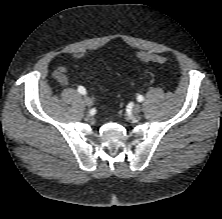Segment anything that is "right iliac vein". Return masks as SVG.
Instances as JSON below:
<instances>
[{"mask_svg": "<svg viewBox=\"0 0 222 219\" xmlns=\"http://www.w3.org/2000/svg\"><path fill=\"white\" fill-rule=\"evenodd\" d=\"M83 101H84V103H85V105H87V106H92V104H93V101H92V99L90 98V97H88V96H85L84 98H83Z\"/></svg>", "mask_w": 222, "mask_h": 219, "instance_id": "1", "label": "right iliac vein"}]
</instances>
